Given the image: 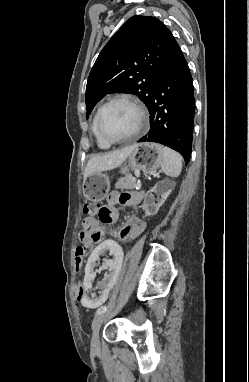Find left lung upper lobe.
I'll use <instances>...</instances> for the list:
<instances>
[{
  "mask_svg": "<svg viewBox=\"0 0 249 382\" xmlns=\"http://www.w3.org/2000/svg\"><path fill=\"white\" fill-rule=\"evenodd\" d=\"M177 42L155 17L127 20L100 52L86 87L88 118L93 107L110 93H131L149 104L157 81Z\"/></svg>",
  "mask_w": 249,
  "mask_h": 382,
  "instance_id": "5c2ea615",
  "label": "left lung upper lobe"
}]
</instances>
